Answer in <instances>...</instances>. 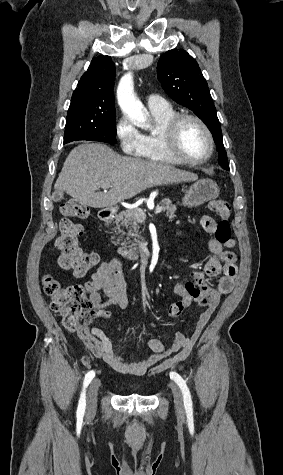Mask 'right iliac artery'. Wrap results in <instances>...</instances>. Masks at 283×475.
<instances>
[{"label": "right iliac artery", "mask_w": 283, "mask_h": 475, "mask_svg": "<svg viewBox=\"0 0 283 475\" xmlns=\"http://www.w3.org/2000/svg\"><path fill=\"white\" fill-rule=\"evenodd\" d=\"M94 377H95V372L93 370L89 371L85 375L84 385H83V392L81 393L78 408H77V417H83L84 416L85 406H86L85 389L87 388V386L89 385V383L91 382V380Z\"/></svg>", "instance_id": "obj_1"}]
</instances>
